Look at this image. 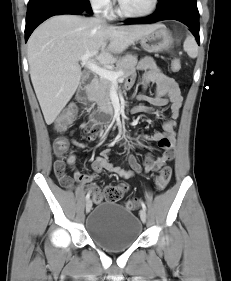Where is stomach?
I'll return each mask as SVG.
<instances>
[{"mask_svg":"<svg viewBox=\"0 0 231 281\" xmlns=\"http://www.w3.org/2000/svg\"><path fill=\"white\" fill-rule=\"evenodd\" d=\"M141 46L148 52H162L168 50L173 43V38L168 29L161 25L154 31L139 39Z\"/></svg>","mask_w":231,"mask_h":281,"instance_id":"obj_1","label":"stomach"}]
</instances>
